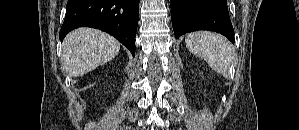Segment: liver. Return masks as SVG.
Instances as JSON below:
<instances>
[{
    "label": "liver",
    "instance_id": "1",
    "mask_svg": "<svg viewBox=\"0 0 299 130\" xmlns=\"http://www.w3.org/2000/svg\"><path fill=\"white\" fill-rule=\"evenodd\" d=\"M120 43L96 29L79 28L69 33L62 46V70L70 77H79L111 61L118 54Z\"/></svg>",
    "mask_w": 299,
    "mask_h": 130
}]
</instances>
